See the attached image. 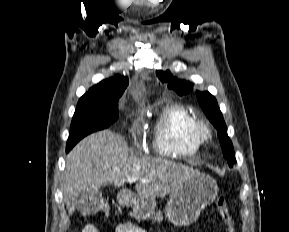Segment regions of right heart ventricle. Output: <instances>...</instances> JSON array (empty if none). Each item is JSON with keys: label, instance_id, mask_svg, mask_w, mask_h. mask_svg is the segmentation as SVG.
Instances as JSON below:
<instances>
[{"label": "right heart ventricle", "instance_id": "e07e8e85", "mask_svg": "<svg viewBox=\"0 0 289 232\" xmlns=\"http://www.w3.org/2000/svg\"><path fill=\"white\" fill-rule=\"evenodd\" d=\"M194 119L182 105L172 104L164 107L157 117L152 133L154 150L165 156H184L197 152L200 144L189 132Z\"/></svg>", "mask_w": 289, "mask_h": 232}]
</instances>
